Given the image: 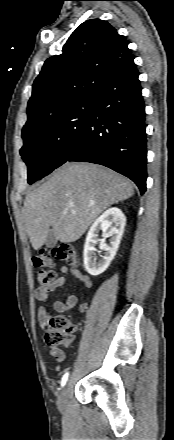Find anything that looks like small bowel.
<instances>
[{"label":"small bowel","instance_id":"obj_1","mask_svg":"<svg viewBox=\"0 0 174 440\" xmlns=\"http://www.w3.org/2000/svg\"><path fill=\"white\" fill-rule=\"evenodd\" d=\"M61 273L63 276L56 278L51 285L47 287H39L35 290V298L41 304L38 309V320L42 327H44L45 323L49 319L48 310L45 304L49 301L50 293L58 288H61L65 284V276L72 275L85 288L91 287L90 279L78 268L62 266ZM77 304L78 297L76 295H68L64 300L54 301L52 307L56 312L64 313L74 308ZM87 308L88 305L86 303H82L79 305L78 309L79 312L83 313L87 310ZM50 354L56 359L57 362H61L64 359V352L62 350L51 349Z\"/></svg>","mask_w":174,"mask_h":440}]
</instances>
